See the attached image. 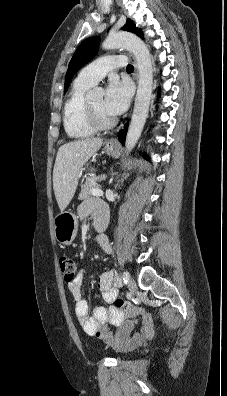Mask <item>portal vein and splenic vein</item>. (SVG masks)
I'll list each match as a JSON object with an SVG mask.
<instances>
[{"instance_id":"1","label":"portal vein and splenic vein","mask_w":227,"mask_h":396,"mask_svg":"<svg viewBox=\"0 0 227 396\" xmlns=\"http://www.w3.org/2000/svg\"><path fill=\"white\" fill-rule=\"evenodd\" d=\"M91 194L94 196H102L103 195V191L98 189V188H94L91 190Z\"/></svg>"}]
</instances>
